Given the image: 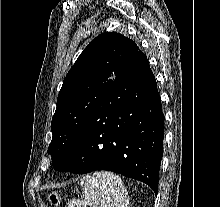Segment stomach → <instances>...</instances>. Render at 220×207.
Listing matches in <instances>:
<instances>
[{
    "mask_svg": "<svg viewBox=\"0 0 220 207\" xmlns=\"http://www.w3.org/2000/svg\"><path fill=\"white\" fill-rule=\"evenodd\" d=\"M47 198L50 204L54 205V207H59L61 195L58 192H51L47 195Z\"/></svg>",
    "mask_w": 220,
    "mask_h": 207,
    "instance_id": "0dacf381",
    "label": "stomach"
}]
</instances>
